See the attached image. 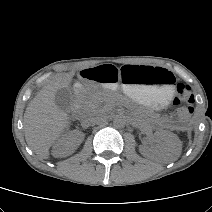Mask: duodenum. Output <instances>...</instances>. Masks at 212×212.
<instances>
[{"label": "duodenum", "mask_w": 212, "mask_h": 212, "mask_svg": "<svg viewBox=\"0 0 212 212\" xmlns=\"http://www.w3.org/2000/svg\"><path fill=\"white\" fill-rule=\"evenodd\" d=\"M80 95H81V88H76L75 92H74L75 102H74V104L71 107L73 112H76L78 110L77 101H78Z\"/></svg>", "instance_id": "1"}]
</instances>
